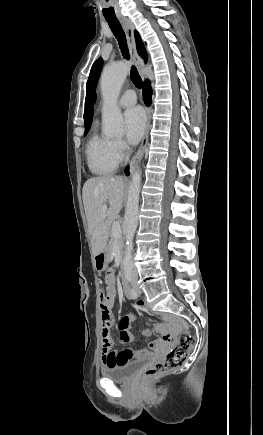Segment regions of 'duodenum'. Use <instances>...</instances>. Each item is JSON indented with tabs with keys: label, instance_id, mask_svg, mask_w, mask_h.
<instances>
[{
	"label": "duodenum",
	"instance_id": "duodenum-1",
	"mask_svg": "<svg viewBox=\"0 0 263 435\" xmlns=\"http://www.w3.org/2000/svg\"><path fill=\"white\" fill-rule=\"evenodd\" d=\"M123 287H124V291H125L126 295L129 296L131 287H130V284H129L127 277L123 278Z\"/></svg>",
	"mask_w": 263,
	"mask_h": 435
}]
</instances>
